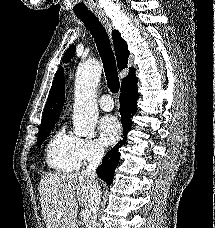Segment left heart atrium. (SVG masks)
Listing matches in <instances>:
<instances>
[{"label": "left heart atrium", "mask_w": 215, "mask_h": 228, "mask_svg": "<svg viewBox=\"0 0 215 228\" xmlns=\"http://www.w3.org/2000/svg\"><path fill=\"white\" fill-rule=\"evenodd\" d=\"M99 133L107 145L116 142L121 135V125L117 118L112 115L103 117L99 124Z\"/></svg>", "instance_id": "obj_1"}]
</instances>
